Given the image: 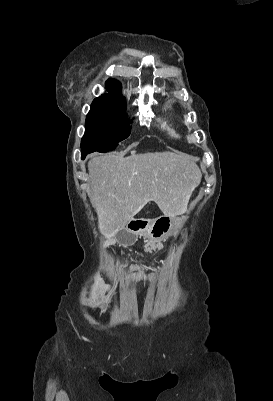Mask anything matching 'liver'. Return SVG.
<instances>
[{"label":"liver","mask_w":273,"mask_h":401,"mask_svg":"<svg viewBox=\"0 0 273 401\" xmlns=\"http://www.w3.org/2000/svg\"><path fill=\"white\" fill-rule=\"evenodd\" d=\"M88 170V196L98 215V229L108 243L149 201L165 217L183 215L202 178L193 156L169 150L131 152L130 156L101 154L89 160Z\"/></svg>","instance_id":"6515ba94"}]
</instances>
